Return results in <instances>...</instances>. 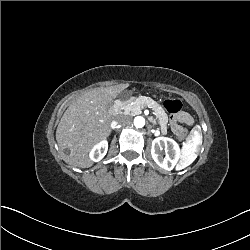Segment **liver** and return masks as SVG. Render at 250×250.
Instances as JSON below:
<instances>
[{"mask_svg": "<svg viewBox=\"0 0 250 250\" xmlns=\"http://www.w3.org/2000/svg\"><path fill=\"white\" fill-rule=\"evenodd\" d=\"M125 88L126 84L95 88L75 98L56 130L61 159L75 167L92 166L88 152L96 142L110 135L109 103Z\"/></svg>", "mask_w": 250, "mask_h": 250, "instance_id": "1", "label": "liver"}]
</instances>
